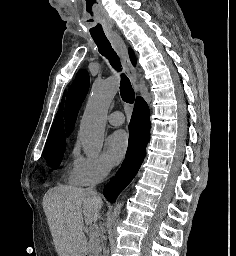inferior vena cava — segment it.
Wrapping results in <instances>:
<instances>
[{
	"mask_svg": "<svg viewBox=\"0 0 236 256\" xmlns=\"http://www.w3.org/2000/svg\"><path fill=\"white\" fill-rule=\"evenodd\" d=\"M104 174L103 172H100V174H98L97 178H95L93 184H91L90 188H86V192L87 194H91V196H93V198H97V200H100V198H98L97 196V192H95L94 188H95V184H98V182H100V180H102ZM105 240V238H104ZM104 254H106V250H103Z\"/></svg>",
	"mask_w": 236,
	"mask_h": 256,
	"instance_id": "602c4592",
	"label": "inferior vena cava"
}]
</instances>
